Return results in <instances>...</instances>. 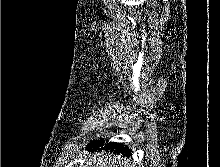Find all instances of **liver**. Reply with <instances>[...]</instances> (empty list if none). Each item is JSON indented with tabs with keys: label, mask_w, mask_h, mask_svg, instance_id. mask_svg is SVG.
Instances as JSON below:
<instances>
[{
	"label": "liver",
	"mask_w": 220,
	"mask_h": 167,
	"mask_svg": "<svg viewBox=\"0 0 220 167\" xmlns=\"http://www.w3.org/2000/svg\"><path fill=\"white\" fill-rule=\"evenodd\" d=\"M129 160L121 155L110 153H94L86 159L85 167H129Z\"/></svg>",
	"instance_id": "6515ba94"
}]
</instances>
